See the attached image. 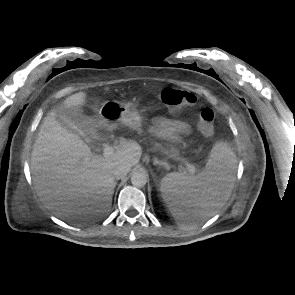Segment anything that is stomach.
Instances as JSON below:
<instances>
[{"instance_id":"obj_1","label":"stomach","mask_w":295,"mask_h":295,"mask_svg":"<svg viewBox=\"0 0 295 295\" xmlns=\"http://www.w3.org/2000/svg\"><path fill=\"white\" fill-rule=\"evenodd\" d=\"M95 123L108 129L124 125L141 133L143 117L132 104L116 100L106 101L102 104ZM169 154L174 158L178 157L177 151L173 148L169 151Z\"/></svg>"}]
</instances>
